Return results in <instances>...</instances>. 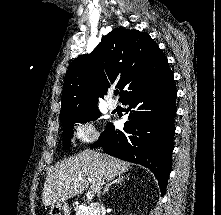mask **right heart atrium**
Masks as SVG:
<instances>
[{"label":"right heart atrium","mask_w":221,"mask_h":215,"mask_svg":"<svg viewBox=\"0 0 221 215\" xmlns=\"http://www.w3.org/2000/svg\"><path fill=\"white\" fill-rule=\"evenodd\" d=\"M74 135L82 142H91L97 138L98 133L92 121H84L76 126Z\"/></svg>","instance_id":"right-heart-atrium-1"}]
</instances>
